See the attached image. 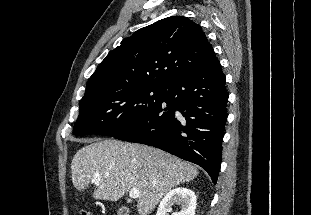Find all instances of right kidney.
<instances>
[{
	"mask_svg": "<svg viewBox=\"0 0 311 215\" xmlns=\"http://www.w3.org/2000/svg\"><path fill=\"white\" fill-rule=\"evenodd\" d=\"M195 193L184 187L170 190L159 204L156 215H168L172 211L173 204L181 205V210L173 215H195L196 209Z\"/></svg>",
	"mask_w": 311,
	"mask_h": 215,
	"instance_id": "right-kidney-1",
	"label": "right kidney"
}]
</instances>
